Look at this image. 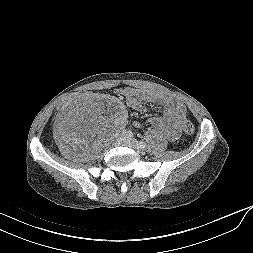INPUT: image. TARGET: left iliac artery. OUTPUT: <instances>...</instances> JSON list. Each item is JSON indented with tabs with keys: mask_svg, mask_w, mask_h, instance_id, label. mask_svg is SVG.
<instances>
[{
	"mask_svg": "<svg viewBox=\"0 0 253 253\" xmlns=\"http://www.w3.org/2000/svg\"><path fill=\"white\" fill-rule=\"evenodd\" d=\"M139 144H140V147L143 149L147 147V144L144 141H141Z\"/></svg>",
	"mask_w": 253,
	"mask_h": 253,
	"instance_id": "left-iliac-artery-1",
	"label": "left iliac artery"
}]
</instances>
